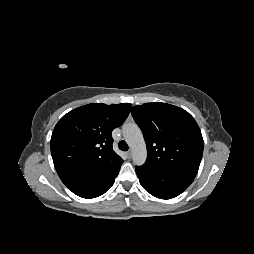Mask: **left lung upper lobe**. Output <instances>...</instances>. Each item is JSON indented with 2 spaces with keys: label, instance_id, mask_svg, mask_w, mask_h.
<instances>
[{
  "label": "left lung upper lobe",
  "instance_id": "1",
  "mask_svg": "<svg viewBox=\"0 0 254 254\" xmlns=\"http://www.w3.org/2000/svg\"><path fill=\"white\" fill-rule=\"evenodd\" d=\"M131 114L147 145L145 166L194 179L203 154V138L194 118L166 103L134 106Z\"/></svg>",
  "mask_w": 254,
  "mask_h": 254
}]
</instances>
